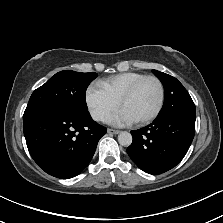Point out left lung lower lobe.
Listing matches in <instances>:
<instances>
[{"label": "left lung lower lobe", "mask_w": 223, "mask_h": 223, "mask_svg": "<svg viewBox=\"0 0 223 223\" xmlns=\"http://www.w3.org/2000/svg\"><path fill=\"white\" fill-rule=\"evenodd\" d=\"M195 133V116L171 115L131 131L127 153L143 171L157 175L175 167L187 153Z\"/></svg>", "instance_id": "obj_1"}]
</instances>
